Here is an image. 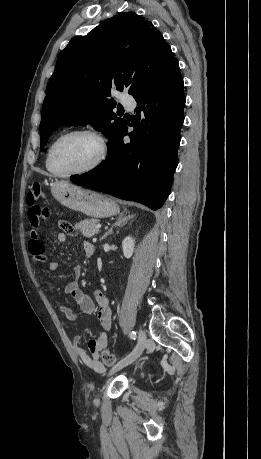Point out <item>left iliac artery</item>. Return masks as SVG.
<instances>
[{"mask_svg":"<svg viewBox=\"0 0 261 459\" xmlns=\"http://www.w3.org/2000/svg\"><path fill=\"white\" fill-rule=\"evenodd\" d=\"M129 337H130L131 339H134V340H135V339H136V332H135V331H132V332L129 334Z\"/></svg>","mask_w":261,"mask_h":459,"instance_id":"obj_1","label":"left iliac artery"}]
</instances>
